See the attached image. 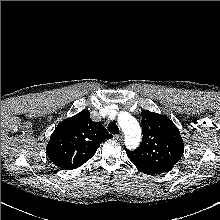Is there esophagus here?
<instances>
[{
    "label": "esophagus",
    "instance_id": "esophagus-1",
    "mask_svg": "<svg viewBox=\"0 0 220 220\" xmlns=\"http://www.w3.org/2000/svg\"><path fill=\"white\" fill-rule=\"evenodd\" d=\"M114 137H115L117 140L121 141V140H123L124 135H123V133H119V134H116Z\"/></svg>",
    "mask_w": 220,
    "mask_h": 220
}]
</instances>
